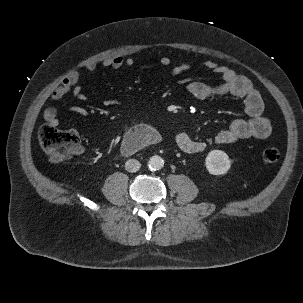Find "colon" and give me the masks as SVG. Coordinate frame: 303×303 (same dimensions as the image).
I'll return each mask as SVG.
<instances>
[{
    "label": "colon",
    "instance_id": "obj_1",
    "mask_svg": "<svg viewBox=\"0 0 303 303\" xmlns=\"http://www.w3.org/2000/svg\"><path fill=\"white\" fill-rule=\"evenodd\" d=\"M41 148L51 163H60L79 150L80 136L73 129H59L51 124L41 127L38 134ZM280 152L275 146H267L262 152L264 162L272 164L279 160Z\"/></svg>",
    "mask_w": 303,
    "mask_h": 303
}]
</instances>
